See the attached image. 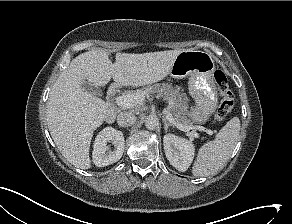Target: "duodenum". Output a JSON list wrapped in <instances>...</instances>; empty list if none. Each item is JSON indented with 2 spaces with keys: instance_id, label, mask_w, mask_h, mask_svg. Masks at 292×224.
<instances>
[{
  "instance_id": "duodenum-1",
  "label": "duodenum",
  "mask_w": 292,
  "mask_h": 224,
  "mask_svg": "<svg viewBox=\"0 0 292 224\" xmlns=\"http://www.w3.org/2000/svg\"><path fill=\"white\" fill-rule=\"evenodd\" d=\"M110 92H111V93H114V92H115V87H112V88L110 89Z\"/></svg>"
}]
</instances>
